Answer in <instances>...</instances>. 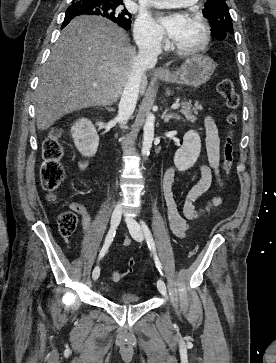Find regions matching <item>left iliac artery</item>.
Returning a JSON list of instances; mask_svg holds the SVG:
<instances>
[{"instance_id": "1", "label": "left iliac artery", "mask_w": 276, "mask_h": 363, "mask_svg": "<svg viewBox=\"0 0 276 363\" xmlns=\"http://www.w3.org/2000/svg\"><path fill=\"white\" fill-rule=\"evenodd\" d=\"M141 226L143 228L144 235H145V238L147 240V244H148L150 250L153 252L154 260H155V265H156L158 271L160 272V274L163 276L162 265H161V263H160L157 255L155 253V243H154L152 234H151L148 226L146 225V223L144 221H141Z\"/></svg>"}]
</instances>
